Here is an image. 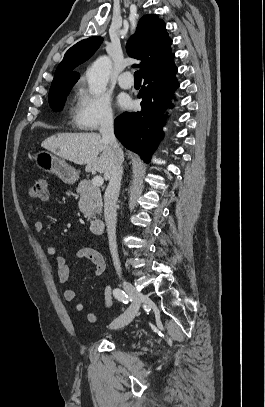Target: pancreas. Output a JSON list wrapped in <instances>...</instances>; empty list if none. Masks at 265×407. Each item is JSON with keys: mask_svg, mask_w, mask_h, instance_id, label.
Here are the masks:
<instances>
[{"mask_svg": "<svg viewBox=\"0 0 265 407\" xmlns=\"http://www.w3.org/2000/svg\"><path fill=\"white\" fill-rule=\"evenodd\" d=\"M80 194L79 209L82 214L90 219L95 214L102 211V197L98 186H94L91 181L83 180L76 189Z\"/></svg>", "mask_w": 265, "mask_h": 407, "instance_id": "obj_1", "label": "pancreas"}]
</instances>
